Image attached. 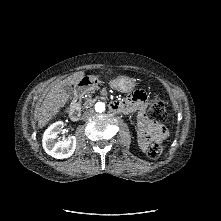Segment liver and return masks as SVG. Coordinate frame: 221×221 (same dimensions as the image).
<instances>
[{
	"label": "liver",
	"instance_id": "1",
	"mask_svg": "<svg viewBox=\"0 0 221 221\" xmlns=\"http://www.w3.org/2000/svg\"><path fill=\"white\" fill-rule=\"evenodd\" d=\"M84 75L85 73L82 71L76 72L63 81L58 82L49 90L39 108L37 118L39 128L45 127L53 117L60 113V110L69 101L70 96L64 90V86L77 85L83 79Z\"/></svg>",
	"mask_w": 221,
	"mask_h": 221
}]
</instances>
